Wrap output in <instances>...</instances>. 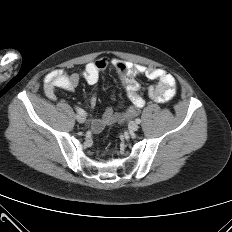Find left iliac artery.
<instances>
[{
	"instance_id": "left-iliac-artery-1",
	"label": "left iliac artery",
	"mask_w": 232,
	"mask_h": 232,
	"mask_svg": "<svg viewBox=\"0 0 232 232\" xmlns=\"http://www.w3.org/2000/svg\"><path fill=\"white\" fill-rule=\"evenodd\" d=\"M136 123L137 124H140L141 123V120L139 118L136 119Z\"/></svg>"
}]
</instances>
